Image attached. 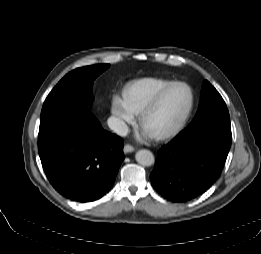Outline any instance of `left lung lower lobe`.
Listing matches in <instances>:
<instances>
[{"label":"left lung lower lobe","mask_w":261,"mask_h":254,"mask_svg":"<svg viewBox=\"0 0 261 254\" xmlns=\"http://www.w3.org/2000/svg\"><path fill=\"white\" fill-rule=\"evenodd\" d=\"M230 125L183 130L159 150L150 174L152 186L172 202L203 194L220 176L231 146Z\"/></svg>","instance_id":"left-lung-lower-lobe-1"}]
</instances>
